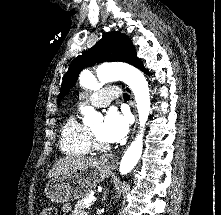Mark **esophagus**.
<instances>
[{"label": "esophagus", "mask_w": 221, "mask_h": 215, "mask_svg": "<svg viewBox=\"0 0 221 215\" xmlns=\"http://www.w3.org/2000/svg\"><path fill=\"white\" fill-rule=\"evenodd\" d=\"M125 89L128 92V94L130 95V102H131V105L133 107V111H134V115H135V124L133 126L132 135H131V138H133L134 133H135V129H136V124H137V114H136V107H135V99H134V96H133V93H132L131 89L129 87H127V86H125ZM101 162L105 166H107L109 168H114V167H116L118 165L119 157L117 155H114V154H107V155H104L101 158Z\"/></svg>", "instance_id": "esophagus-1"}]
</instances>
